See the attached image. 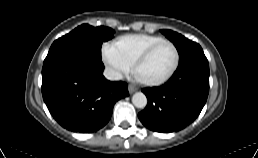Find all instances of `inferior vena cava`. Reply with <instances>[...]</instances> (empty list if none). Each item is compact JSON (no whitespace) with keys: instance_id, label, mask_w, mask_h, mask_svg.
<instances>
[{"instance_id":"1","label":"inferior vena cava","mask_w":258,"mask_h":158,"mask_svg":"<svg viewBox=\"0 0 258 158\" xmlns=\"http://www.w3.org/2000/svg\"><path fill=\"white\" fill-rule=\"evenodd\" d=\"M103 75L105 76L106 79L111 80V81L121 79V74L109 67H107L104 70Z\"/></svg>"}]
</instances>
